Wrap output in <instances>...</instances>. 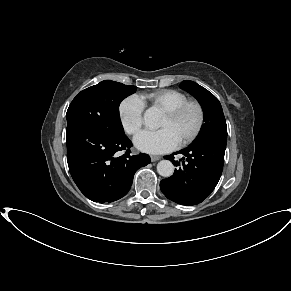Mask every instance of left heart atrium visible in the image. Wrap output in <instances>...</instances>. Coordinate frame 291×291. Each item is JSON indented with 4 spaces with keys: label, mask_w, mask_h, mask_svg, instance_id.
<instances>
[{
    "label": "left heart atrium",
    "mask_w": 291,
    "mask_h": 291,
    "mask_svg": "<svg viewBox=\"0 0 291 291\" xmlns=\"http://www.w3.org/2000/svg\"><path fill=\"white\" fill-rule=\"evenodd\" d=\"M178 140L168 128L145 130L134 138L135 146L146 153L161 154L178 146Z\"/></svg>",
    "instance_id": "left-heart-atrium-1"
}]
</instances>
